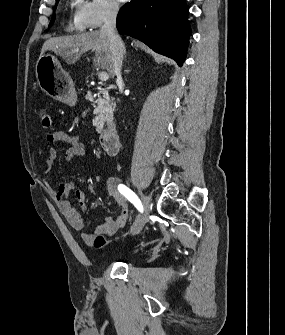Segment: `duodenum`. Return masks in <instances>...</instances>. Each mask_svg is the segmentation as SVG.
<instances>
[{
  "label": "duodenum",
  "instance_id": "duodenum-1",
  "mask_svg": "<svg viewBox=\"0 0 285 335\" xmlns=\"http://www.w3.org/2000/svg\"><path fill=\"white\" fill-rule=\"evenodd\" d=\"M114 89L113 86L109 87ZM99 142L103 151L108 155H115L119 150V134L114 122L104 127L99 134Z\"/></svg>",
  "mask_w": 285,
  "mask_h": 335
}]
</instances>
